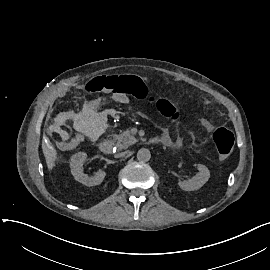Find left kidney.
<instances>
[{
  "label": "left kidney",
  "instance_id": "1",
  "mask_svg": "<svg viewBox=\"0 0 270 270\" xmlns=\"http://www.w3.org/2000/svg\"><path fill=\"white\" fill-rule=\"evenodd\" d=\"M199 173L190 180L180 181L178 185L185 191H193L201 188L210 178V172L205 165L198 164Z\"/></svg>",
  "mask_w": 270,
  "mask_h": 270
}]
</instances>
